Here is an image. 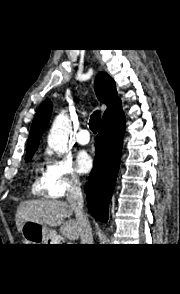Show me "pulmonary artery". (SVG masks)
Instances as JSON below:
<instances>
[{"mask_svg":"<svg viewBox=\"0 0 180 294\" xmlns=\"http://www.w3.org/2000/svg\"><path fill=\"white\" fill-rule=\"evenodd\" d=\"M76 140L79 144L85 145L90 142V134L89 131L86 129H83L78 132L76 135Z\"/></svg>","mask_w":180,"mask_h":294,"instance_id":"pulmonary-artery-1","label":"pulmonary artery"}]
</instances>
